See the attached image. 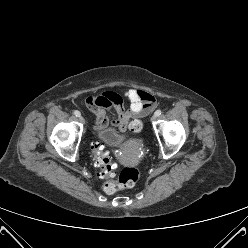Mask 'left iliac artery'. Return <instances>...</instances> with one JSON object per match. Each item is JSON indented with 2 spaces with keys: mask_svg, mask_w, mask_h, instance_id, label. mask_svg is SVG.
<instances>
[{
  "mask_svg": "<svg viewBox=\"0 0 248 248\" xmlns=\"http://www.w3.org/2000/svg\"><path fill=\"white\" fill-rule=\"evenodd\" d=\"M161 110H157L154 114L156 115V116H159V115H161Z\"/></svg>",
  "mask_w": 248,
  "mask_h": 248,
  "instance_id": "1",
  "label": "left iliac artery"
}]
</instances>
